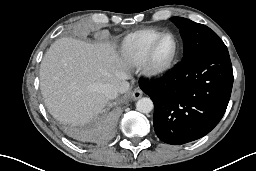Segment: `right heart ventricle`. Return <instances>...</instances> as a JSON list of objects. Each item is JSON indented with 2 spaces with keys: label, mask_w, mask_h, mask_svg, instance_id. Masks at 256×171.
<instances>
[{
  "label": "right heart ventricle",
  "mask_w": 256,
  "mask_h": 171,
  "mask_svg": "<svg viewBox=\"0 0 256 171\" xmlns=\"http://www.w3.org/2000/svg\"><path fill=\"white\" fill-rule=\"evenodd\" d=\"M162 33L160 30L147 28L128 34L121 44L122 56L132 65L141 64L151 43Z\"/></svg>",
  "instance_id": "right-heart-ventricle-1"
}]
</instances>
